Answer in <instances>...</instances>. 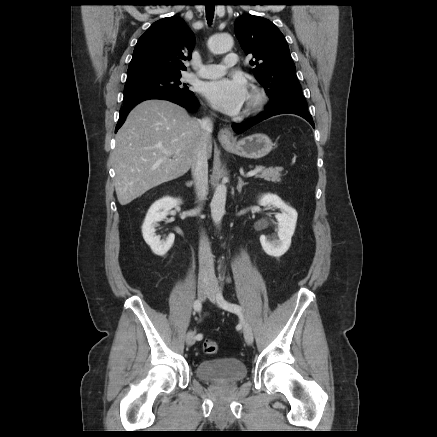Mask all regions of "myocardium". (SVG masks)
<instances>
[{
    "instance_id": "obj_1",
    "label": "myocardium",
    "mask_w": 437,
    "mask_h": 437,
    "mask_svg": "<svg viewBox=\"0 0 437 437\" xmlns=\"http://www.w3.org/2000/svg\"><path fill=\"white\" fill-rule=\"evenodd\" d=\"M250 96L251 101L245 108V115H252L260 111L264 107L267 100L265 92L257 87L252 88Z\"/></svg>"
}]
</instances>
